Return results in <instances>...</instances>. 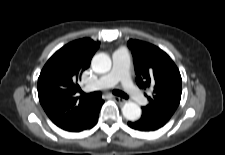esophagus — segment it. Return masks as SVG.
Instances as JSON below:
<instances>
[{
	"instance_id": "esophagus-1",
	"label": "esophagus",
	"mask_w": 225,
	"mask_h": 155,
	"mask_svg": "<svg viewBox=\"0 0 225 155\" xmlns=\"http://www.w3.org/2000/svg\"><path fill=\"white\" fill-rule=\"evenodd\" d=\"M113 99L120 104H124L126 102L125 99L118 97V96H113Z\"/></svg>"
}]
</instances>
